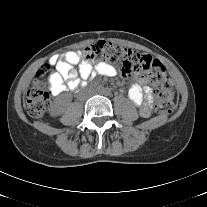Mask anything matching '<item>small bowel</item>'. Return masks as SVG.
Listing matches in <instances>:
<instances>
[{
    "label": "small bowel",
    "instance_id": "obj_1",
    "mask_svg": "<svg viewBox=\"0 0 207 207\" xmlns=\"http://www.w3.org/2000/svg\"><path fill=\"white\" fill-rule=\"evenodd\" d=\"M49 64L56 68L50 80L53 95L68 91L77 92L96 75L114 77L117 74V69L111 63L100 61L93 65L91 61L83 59L82 52L78 50L68 51L63 55H53L49 59ZM135 80L128 90V96L139 108L140 114L148 117L151 114V90L141 86L145 83L143 76L136 74Z\"/></svg>",
    "mask_w": 207,
    "mask_h": 207
}]
</instances>
